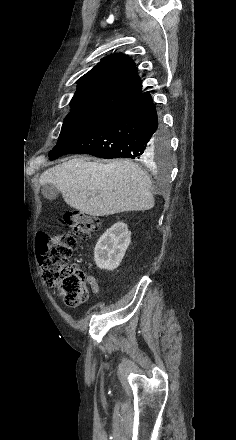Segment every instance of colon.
Masks as SVG:
<instances>
[{
	"label": "colon",
	"instance_id": "1",
	"mask_svg": "<svg viewBox=\"0 0 236 440\" xmlns=\"http://www.w3.org/2000/svg\"><path fill=\"white\" fill-rule=\"evenodd\" d=\"M64 222L68 232L49 236L44 232L36 234L38 261L44 282L54 288L67 306H78L88 299L85 272L70 264L77 238L87 239L100 228L98 218L78 211H69Z\"/></svg>",
	"mask_w": 236,
	"mask_h": 440
}]
</instances>
